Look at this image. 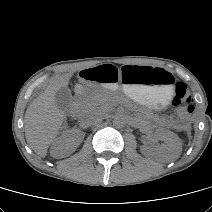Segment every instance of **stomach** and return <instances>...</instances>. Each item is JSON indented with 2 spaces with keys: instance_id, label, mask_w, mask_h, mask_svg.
Segmentation results:
<instances>
[{
  "instance_id": "stomach-1",
  "label": "stomach",
  "mask_w": 212,
  "mask_h": 212,
  "mask_svg": "<svg viewBox=\"0 0 212 212\" xmlns=\"http://www.w3.org/2000/svg\"><path fill=\"white\" fill-rule=\"evenodd\" d=\"M85 82L108 87L152 109H160L172 96L174 78L160 66L98 64L80 72Z\"/></svg>"
}]
</instances>
